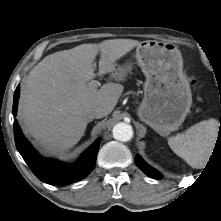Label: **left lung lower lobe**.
Returning a JSON list of instances; mask_svg holds the SVG:
<instances>
[{
  "instance_id": "left-lung-lower-lobe-1",
  "label": "left lung lower lobe",
  "mask_w": 221,
  "mask_h": 221,
  "mask_svg": "<svg viewBox=\"0 0 221 221\" xmlns=\"http://www.w3.org/2000/svg\"><path fill=\"white\" fill-rule=\"evenodd\" d=\"M218 143L221 145V137H219ZM135 162L137 166L149 177L154 178V179L162 178V175L157 170L153 169L148 164H146L139 155H136Z\"/></svg>"
}]
</instances>
